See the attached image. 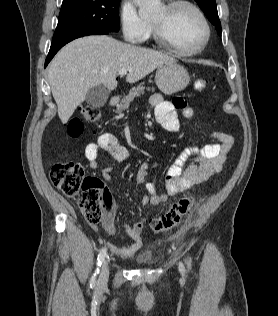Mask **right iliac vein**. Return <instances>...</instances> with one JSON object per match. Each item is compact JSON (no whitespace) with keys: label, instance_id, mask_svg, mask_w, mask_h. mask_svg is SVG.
I'll use <instances>...</instances> for the list:
<instances>
[{"label":"right iliac vein","instance_id":"obj_1","mask_svg":"<svg viewBox=\"0 0 278 316\" xmlns=\"http://www.w3.org/2000/svg\"><path fill=\"white\" fill-rule=\"evenodd\" d=\"M109 278V266H108V260L103 261L100 275L98 278V285L99 286H104Z\"/></svg>","mask_w":278,"mask_h":316}]
</instances>
